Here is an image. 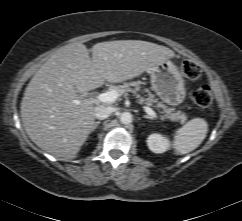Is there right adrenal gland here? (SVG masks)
Instances as JSON below:
<instances>
[{
	"label": "right adrenal gland",
	"instance_id": "1",
	"mask_svg": "<svg viewBox=\"0 0 242 221\" xmlns=\"http://www.w3.org/2000/svg\"><path fill=\"white\" fill-rule=\"evenodd\" d=\"M99 124H101V121H97V122H95L92 131H94V130L98 127Z\"/></svg>",
	"mask_w": 242,
	"mask_h": 221
}]
</instances>
